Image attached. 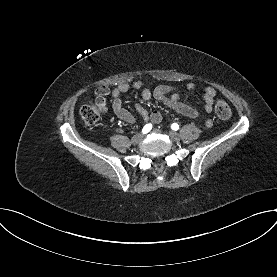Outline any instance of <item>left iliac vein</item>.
<instances>
[{"mask_svg":"<svg viewBox=\"0 0 277 277\" xmlns=\"http://www.w3.org/2000/svg\"><path fill=\"white\" fill-rule=\"evenodd\" d=\"M168 135H169V137H170L173 141H175V142H177V141L180 140V136H179V134H178L177 132L169 131V132H168Z\"/></svg>","mask_w":277,"mask_h":277,"instance_id":"1","label":"left iliac vein"}]
</instances>
